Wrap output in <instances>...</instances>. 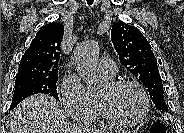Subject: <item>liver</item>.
Masks as SVG:
<instances>
[{
	"mask_svg": "<svg viewBox=\"0 0 184 133\" xmlns=\"http://www.w3.org/2000/svg\"><path fill=\"white\" fill-rule=\"evenodd\" d=\"M8 133H98L84 127L69 126L63 119V109L53 97L37 94L23 100L10 113Z\"/></svg>",
	"mask_w": 184,
	"mask_h": 133,
	"instance_id": "6515ba94",
	"label": "liver"
}]
</instances>
